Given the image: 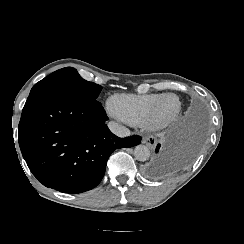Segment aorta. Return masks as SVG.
Segmentation results:
<instances>
[{
    "mask_svg": "<svg viewBox=\"0 0 244 244\" xmlns=\"http://www.w3.org/2000/svg\"><path fill=\"white\" fill-rule=\"evenodd\" d=\"M134 156L138 161H146L150 157V150L145 145H137L134 149Z\"/></svg>",
    "mask_w": 244,
    "mask_h": 244,
    "instance_id": "762f6f07",
    "label": "aorta"
}]
</instances>
